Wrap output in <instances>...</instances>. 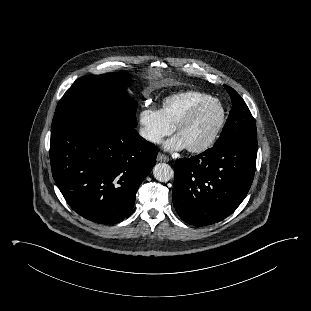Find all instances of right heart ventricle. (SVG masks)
<instances>
[{"label":"right heart ventricle","instance_id":"e07e8e85","mask_svg":"<svg viewBox=\"0 0 311 311\" xmlns=\"http://www.w3.org/2000/svg\"><path fill=\"white\" fill-rule=\"evenodd\" d=\"M210 98L213 97L198 91L179 92L164 98L159 111L167 123L175 127L190 109Z\"/></svg>","mask_w":311,"mask_h":311}]
</instances>
